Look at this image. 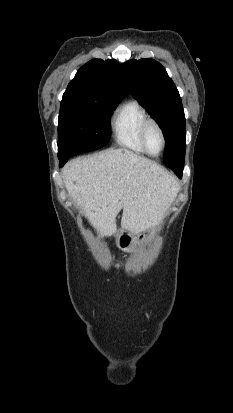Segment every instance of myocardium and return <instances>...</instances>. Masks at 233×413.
<instances>
[{"label": "myocardium", "instance_id": "obj_1", "mask_svg": "<svg viewBox=\"0 0 233 413\" xmlns=\"http://www.w3.org/2000/svg\"><path fill=\"white\" fill-rule=\"evenodd\" d=\"M150 126H154V127H156V128L158 129V131H159V133H160V135H161V139H162V147H161L160 151H159L158 153H156V154L150 152V150L148 149V146H147V142H146V132H147V130H148V128H149ZM139 137H140V142H141V144H142L145 152H146L148 155H150V156H154V157H155V156H159V155L164 151V149H165V147H166V135H165V132H164L161 124H160L157 120H155V119H153V118H147V119L142 123V125H141V127H140V131H139Z\"/></svg>", "mask_w": 233, "mask_h": 413}]
</instances>
